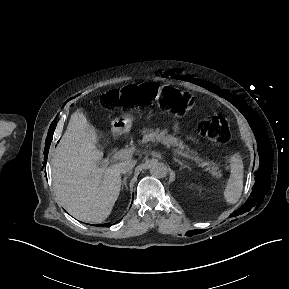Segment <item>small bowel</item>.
<instances>
[{
	"instance_id": "obj_1",
	"label": "small bowel",
	"mask_w": 289,
	"mask_h": 289,
	"mask_svg": "<svg viewBox=\"0 0 289 289\" xmlns=\"http://www.w3.org/2000/svg\"><path fill=\"white\" fill-rule=\"evenodd\" d=\"M174 129H178V125L177 124L174 126Z\"/></svg>"
}]
</instances>
